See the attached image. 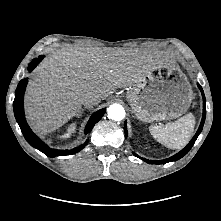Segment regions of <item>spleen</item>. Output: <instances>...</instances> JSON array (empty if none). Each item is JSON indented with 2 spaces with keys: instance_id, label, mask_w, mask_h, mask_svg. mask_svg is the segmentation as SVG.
<instances>
[{
  "instance_id": "3e777b00",
  "label": "spleen",
  "mask_w": 221,
  "mask_h": 221,
  "mask_svg": "<svg viewBox=\"0 0 221 221\" xmlns=\"http://www.w3.org/2000/svg\"><path fill=\"white\" fill-rule=\"evenodd\" d=\"M195 126V118L189 113L175 122L165 126L152 125L149 128L151 135L161 144L170 149L183 148L190 140Z\"/></svg>"
}]
</instances>
